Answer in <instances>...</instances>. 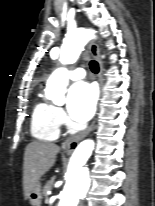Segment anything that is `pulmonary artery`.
<instances>
[{
  "label": "pulmonary artery",
  "mask_w": 155,
  "mask_h": 206,
  "mask_svg": "<svg viewBox=\"0 0 155 206\" xmlns=\"http://www.w3.org/2000/svg\"><path fill=\"white\" fill-rule=\"evenodd\" d=\"M84 75H85V71L81 67L73 69V70L69 71V73H68V77L72 80L81 79L84 77Z\"/></svg>",
  "instance_id": "obj_1"
}]
</instances>
